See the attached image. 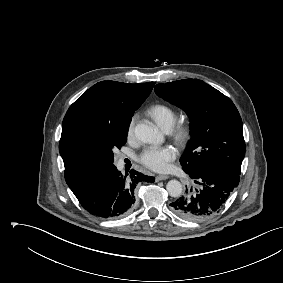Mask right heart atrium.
Here are the masks:
<instances>
[{
  "label": "right heart atrium",
  "mask_w": 283,
  "mask_h": 283,
  "mask_svg": "<svg viewBox=\"0 0 283 283\" xmlns=\"http://www.w3.org/2000/svg\"><path fill=\"white\" fill-rule=\"evenodd\" d=\"M133 134H134V118H132L128 124L127 132H126L127 138L131 139L133 137Z\"/></svg>",
  "instance_id": "1"
}]
</instances>
